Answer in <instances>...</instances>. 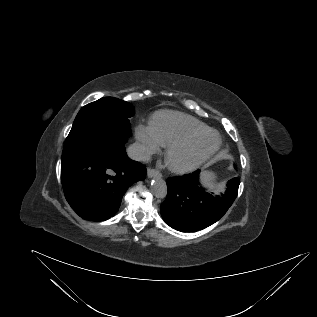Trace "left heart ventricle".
Listing matches in <instances>:
<instances>
[{"label": "left heart ventricle", "instance_id": "1", "mask_svg": "<svg viewBox=\"0 0 317 317\" xmlns=\"http://www.w3.org/2000/svg\"><path fill=\"white\" fill-rule=\"evenodd\" d=\"M215 141V135L207 134L174 151L170 157V160L172 163L178 165L189 163L199 154L205 152L207 149L213 146Z\"/></svg>", "mask_w": 317, "mask_h": 317}]
</instances>
